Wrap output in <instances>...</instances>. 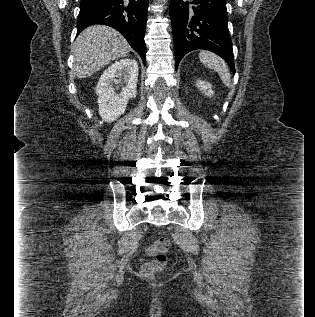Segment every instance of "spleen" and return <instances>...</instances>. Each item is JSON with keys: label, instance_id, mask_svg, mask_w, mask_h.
I'll use <instances>...</instances> for the list:
<instances>
[{"label": "spleen", "instance_id": "spleen-1", "mask_svg": "<svg viewBox=\"0 0 315 317\" xmlns=\"http://www.w3.org/2000/svg\"><path fill=\"white\" fill-rule=\"evenodd\" d=\"M199 59L203 65L209 69L215 70L226 86H230L229 68L223 59L209 51H201L199 53Z\"/></svg>", "mask_w": 315, "mask_h": 317}]
</instances>
